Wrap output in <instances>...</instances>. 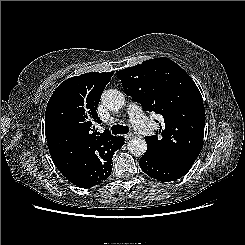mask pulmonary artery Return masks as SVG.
Listing matches in <instances>:
<instances>
[{"mask_svg": "<svg viewBox=\"0 0 245 245\" xmlns=\"http://www.w3.org/2000/svg\"><path fill=\"white\" fill-rule=\"evenodd\" d=\"M128 115L131 123L140 134L144 136L151 135L153 131V125L145 116L141 107L135 103H130L128 106Z\"/></svg>", "mask_w": 245, "mask_h": 245, "instance_id": "obj_1", "label": "pulmonary artery"}]
</instances>
